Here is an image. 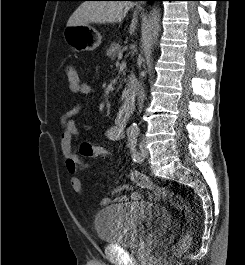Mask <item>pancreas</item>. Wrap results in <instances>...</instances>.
<instances>
[{"instance_id": "pancreas-1", "label": "pancreas", "mask_w": 245, "mask_h": 265, "mask_svg": "<svg viewBox=\"0 0 245 265\" xmlns=\"http://www.w3.org/2000/svg\"><path fill=\"white\" fill-rule=\"evenodd\" d=\"M122 52V47L118 43L112 42L110 47L106 51V56L114 60L118 56V54Z\"/></svg>"}]
</instances>
